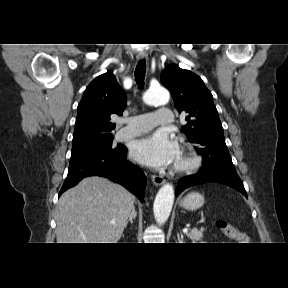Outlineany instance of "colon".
Returning <instances> with one entry per match:
<instances>
[{"instance_id":"obj_1","label":"colon","mask_w":288,"mask_h":288,"mask_svg":"<svg viewBox=\"0 0 288 288\" xmlns=\"http://www.w3.org/2000/svg\"><path fill=\"white\" fill-rule=\"evenodd\" d=\"M216 226L231 241H240L243 239V234L226 220H218Z\"/></svg>"}]
</instances>
